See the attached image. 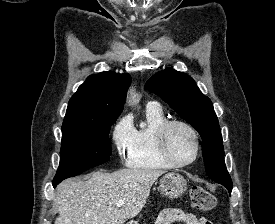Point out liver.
<instances>
[{"mask_svg": "<svg viewBox=\"0 0 275 224\" xmlns=\"http://www.w3.org/2000/svg\"><path fill=\"white\" fill-rule=\"evenodd\" d=\"M162 174L156 169H121L98 171L87 180L67 179L56 188L55 224H124L140 213ZM119 200L124 201L120 208Z\"/></svg>", "mask_w": 275, "mask_h": 224, "instance_id": "1", "label": "liver"}]
</instances>
